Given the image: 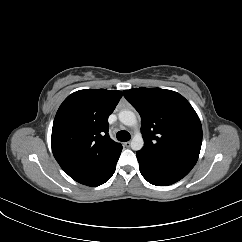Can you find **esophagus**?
Segmentation results:
<instances>
[{"label":"esophagus","mask_w":242,"mask_h":242,"mask_svg":"<svg viewBox=\"0 0 242 242\" xmlns=\"http://www.w3.org/2000/svg\"><path fill=\"white\" fill-rule=\"evenodd\" d=\"M130 145H131L130 141H127V142L124 143V146L127 147V148L130 147Z\"/></svg>","instance_id":"obj_1"}]
</instances>
